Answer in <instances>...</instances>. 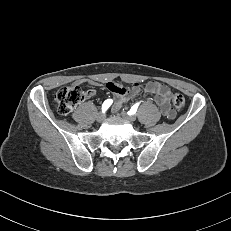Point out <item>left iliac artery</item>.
I'll return each mask as SVG.
<instances>
[{"instance_id": "44dca946", "label": "left iliac artery", "mask_w": 231, "mask_h": 231, "mask_svg": "<svg viewBox=\"0 0 231 231\" xmlns=\"http://www.w3.org/2000/svg\"><path fill=\"white\" fill-rule=\"evenodd\" d=\"M139 104H140V102H138L132 106V108L130 109L129 115L136 113Z\"/></svg>"}]
</instances>
